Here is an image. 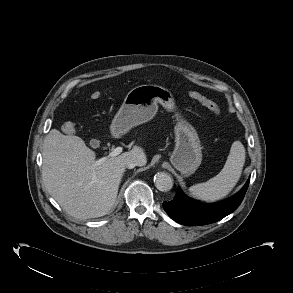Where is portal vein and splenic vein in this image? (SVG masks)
Returning a JSON list of instances; mask_svg holds the SVG:
<instances>
[{"label": "portal vein and splenic vein", "mask_w": 293, "mask_h": 293, "mask_svg": "<svg viewBox=\"0 0 293 293\" xmlns=\"http://www.w3.org/2000/svg\"><path fill=\"white\" fill-rule=\"evenodd\" d=\"M123 151V148L122 147H116L115 149H113L109 154H108V157L109 158H113V157H116L118 156L119 154H121ZM104 160V158L100 159L99 161L96 162L97 165L101 164V162Z\"/></svg>", "instance_id": "portal-vein-and-splenic-vein-1"}]
</instances>
